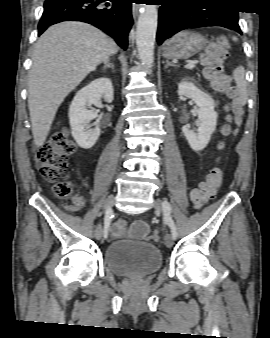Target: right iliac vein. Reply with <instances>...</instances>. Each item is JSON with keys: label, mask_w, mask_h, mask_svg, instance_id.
<instances>
[{"label": "right iliac vein", "mask_w": 270, "mask_h": 338, "mask_svg": "<svg viewBox=\"0 0 270 338\" xmlns=\"http://www.w3.org/2000/svg\"><path fill=\"white\" fill-rule=\"evenodd\" d=\"M115 202V198L114 196H108L104 202V210L105 212L112 208L113 204ZM94 236L97 240H99L102 236V227H101V224L99 223L96 228H95V231H94Z\"/></svg>", "instance_id": "63e3f726"}]
</instances>
